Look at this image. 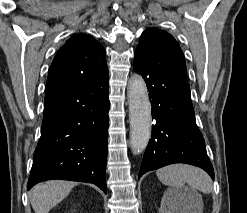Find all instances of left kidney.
Returning <instances> with one entry per match:
<instances>
[{
    "label": "left kidney",
    "mask_w": 247,
    "mask_h": 213,
    "mask_svg": "<svg viewBox=\"0 0 247 213\" xmlns=\"http://www.w3.org/2000/svg\"><path fill=\"white\" fill-rule=\"evenodd\" d=\"M159 213H196L193 211L191 197L178 190H167L161 200Z\"/></svg>",
    "instance_id": "left-kidney-1"
}]
</instances>
